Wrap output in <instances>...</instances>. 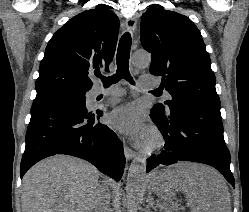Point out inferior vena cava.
<instances>
[{"instance_id": "inferior-vena-cava-1", "label": "inferior vena cava", "mask_w": 249, "mask_h": 212, "mask_svg": "<svg viewBox=\"0 0 249 212\" xmlns=\"http://www.w3.org/2000/svg\"><path fill=\"white\" fill-rule=\"evenodd\" d=\"M97 196L98 198H95L94 200L93 212H113L109 206L108 198H110V196L108 194V188L106 184H101V186H98Z\"/></svg>"}]
</instances>
